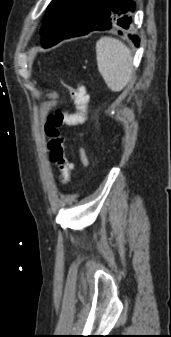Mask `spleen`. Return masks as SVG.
<instances>
[{
    "mask_svg": "<svg viewBox=\"0 0 171 337\" xmlns=\"http://www.w3.org/2000/svg\"><path fill=\"white\" fill-rule=\"evenodd\" d=\"M98 70L108 88L120 92L133 71L131 50L120 40L102 37L96 43Z\"/></svg>",
    "mask_w": 171,
    "mask_h": 337,
    "instance_id": "1",
    "label": "spleen"
}]
</instances>
